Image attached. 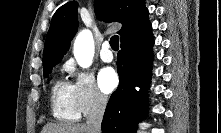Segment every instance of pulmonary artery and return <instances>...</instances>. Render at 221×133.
I'll return each mask as SVG.
<instances>
[{"label": "pulmonary artery", "mask_w": 221, "mask_h": 133, "mask_svg": "<svg viewBox=\"0 0 221 133\" xmlns=\"http://www.w3.org/2000/svg\"><path fill=\"white\" fill-rule=\"evenodd\" d=\"M100 58L104 62H111L114 58L113 52L111 50L110 43L108 41H105L102 44L101 50H100Z\"/></svg>", "instance_id": "1"}]
</instances>
